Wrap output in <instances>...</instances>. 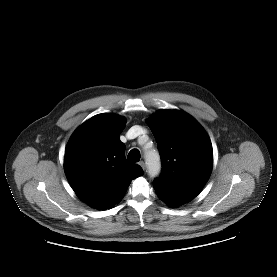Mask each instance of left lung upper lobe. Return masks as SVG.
<instances>
[{
  "label": "left lung upper lobe",
  "mask_w": 277,
  "mask_h": 277,
  "mask_svg": "<svg viewBox=\"0 0 277 277\" xmlns=\"http://www.w3.org/2000/svg\"><path fill=\"white\" fill-rule=\"evenodd\" d=\"M162 160L161 176L153 184L195 197L209 179L213 165L211 141L189 114L161 110L148 119Z\"/></svg>",
  "instance_id": "obj_1"
}]
</instances>
